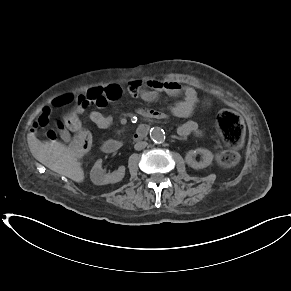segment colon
Returning <instances> with one entry per match:
<instances>
[{
  "label": "colon",
  "mask_w": 291,
  "mask_h": 291,
  "mask_svg": "<svg viewBox=\"0 0 291 291\" xmlns=\"http://www.w3.org/2000/svg\"><path fill=\"white\" fill-rule=\"evenodd\" d=\"M78 105V98L74 93H65L57 97L53 102H45L43 105L45 114L50 111H56L57 108H65ZM217 127L225 141L230 147L218 153L217 159L220 164L230 166L238 161V153L235 148L242 143L245 128L241 118L230 110H221L217 115ZM69 130L72 133L70 145L75 153L83 154L91 144L92 138L90 133L82 127L76 113L70 114L55 125L46 127V136L48 139H55L57 132Z\"/></svg>",
  "instance_id": "obj_1"
}]
</instances>
